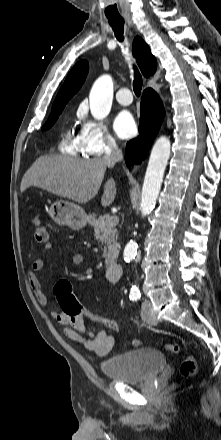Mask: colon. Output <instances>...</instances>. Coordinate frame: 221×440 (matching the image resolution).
<instances>
[{"label": "colon", "instance_id": "5ec220e1", "mask_svg": "<svg viewBox=\"0 0 221 440\" xmlns=\"http://www.w3.org/2000/svg\"><path fill=\"white\" fill-rule=\"evenodd\" d=\"M33 232L37 242L48 244L50 236L45 225L39 220L33 221ZM54 294L58 300V307L61 315H67L68 320L77 321L79 318H86L88 321H95L96 324H102L103 329H114L115 332L123 331V324L116 318H111L110 315H101L100 312H87L83 309V304L77 297L73 296L72 286L68 280H60L54 287ZM134 345H138L139 341L134 340ZM166 350L171 353H179L180 347L177 344H167ZM197 370L196 361L192 356L184 358L180 365V374L183 377H192Z\"/></svg>", "mask_w": 221, "mask_h": 440}]
</instances>
